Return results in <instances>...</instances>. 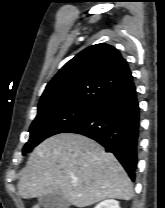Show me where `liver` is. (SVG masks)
Segmentation results:
<instances>
[{
    "instance_id": "liver-1",
    "label": "liver",
    "mask_w": 165,
    "mask_h": 208,
    "mask_svg": "<svg viewBox=\"0 0 165 208\" xmlns=\"http://www.w3.org/2000/svg\"><path fill=\"white\" fill-rule=\"evenodd\" d=\"M18 191L24 199L61 192L76 207L133 197L132 182L116 157L96 141L74 133L54 135L34 149Z\"/></svg>"
}]
</instances>
